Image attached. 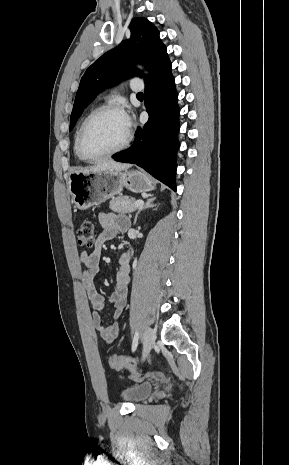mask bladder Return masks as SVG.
Segmentation results:
<instances>
[{
    "label": "bladder",
    "instance_id": "1",
    "mask_svg": "<svg viewBox=\"0 0 289 465\" xmlns=\"http://www.w3.org/2000/svg\"><path fill=\"white\" fill-rule=\"evenodd\" d=\"M152 390V382H143L123 389L121 391V396L127 402L139 403L145 400L151 394Z\"/></svg>",
    "mask_w": 289,
    "mask_h": 465
}]
</instances>
